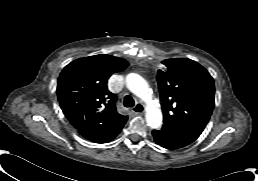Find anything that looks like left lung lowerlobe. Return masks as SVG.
I'll return each mask as SVG.
<instances>
[{
    "instance_id": "left-lung-lower-lobe-1",
    "label": "left lung lower lobe",
    "mask_w": 258,
    "mask_h": 181,
    "mask_svg": "<svg viewBox=\"0 0 258 181\" xmlns=\"http://www.w3.org/2000/svg\"><path fill=\"white\" fill-rule=\"evenodd\" d=\"M154 141L167 149H178L195 141L199 134L192 131L164 124L161 130H153Z\"/></svg>"
}]
</instances>
